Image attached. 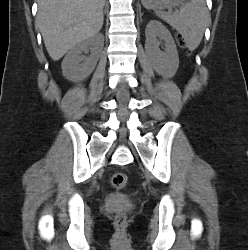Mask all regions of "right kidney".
Listing matches in <instances>:
<instances>
[{
  "label": "right kidney",
  "instance_id": "ca27d5eb",
  "mask_svg": "<svg viewBox=\"0 0 248 250\" xmlns=\"http://www.w3.org/2000/svg\"><path fill=\"white\" fill-rule=\"evenodd\" d=\"M104 46V36L97 34L73 47L62 61V74L72 82L86 79L95 69ZM91 50L89 57H84L82 52Z\"/></svg>",
  "mask_w": 248,
  "mask_h": 250
}]
</instances>
